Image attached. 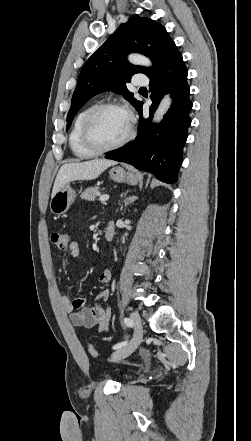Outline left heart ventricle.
Masks as SVG:
<instances>
[{
    "label": "left heart ventricle",
    "instance_id": "left-heart-ventricle-1",
    "mask_svg": "<svg viewBox=\"0 0 251 441\" xmlns=\"http://www.w3.org/2000/svg\"><path fill=\"white\" fill-rule=\"evenodd\" d=\"M128 126V116L124 111L106 109L93 118L90 124V135L97 145L109 146L127 134Z\"/></svg>",
    "mask_w": 251,
    "mask_h": 441
}]
</instances>
